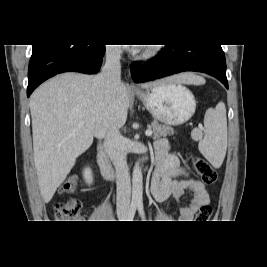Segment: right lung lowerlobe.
<instances>
[{
  "label": "right lung lower lobe",
  "instance_id": "98d812e1",
  "mask_svg": "<svg viewBox=\"0 0 267 267\" xmlns=\"http://www.w3.org/2000/svg\"><path fill=\"white\" fill-rule=\"evenodd\" d=\"M105 45H33L29 62L27 96L48 78L63 72L95 74Z\"/></svg>",
  "mask_w": 267,
  "mask_h": 267
}]
</instances>
